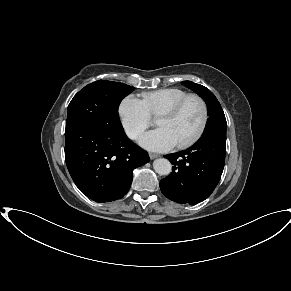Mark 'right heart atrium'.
<instances>
[{
	"label": "right heart atrium",
	"instance_id": "right-heart-atrium-1",
	"mask_svg": "<svg viewBox=\"0 0 291 291\" xmlns=\"http://www.w3.org/2000/svg\"><path fill=\"white\" fill-rule=\"evenodd\" d=\"M118 115L126 135L132 140H138L151 124L143 102L134 95H127L122 99Z\"/></svg>",
	"mask_w": 291,
	"mask_h": 291
}]
</instances>
